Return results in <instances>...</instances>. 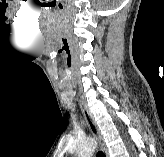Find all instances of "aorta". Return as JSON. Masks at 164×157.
Listing matches in <instances>:
<instances>
[{
	"mask_svg": "<svg viewBox=\"0 0 164 157\" xmlns=\"http://www.w3.org/2000/svg\"><path fill=\"white\" fill-rule=\"evenodd\" d=\"M96 147L97 143L94 140H87L80 143L77 149V157H92Z\"/></svg>",
	"mask_w": 164,
	"mask_h": 157,
	"instance_id": "1",
	"label": "aorta"
}]
</instances>
